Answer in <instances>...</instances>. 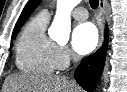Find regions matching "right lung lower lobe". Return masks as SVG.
Wrapping results in <instances>:
<instances>
[{
  "label": "right lung lower lobe",
  "instance_id": "obj_1",
  "mask_svg": "<svg viewBox=\"0 0 127 92\" xmlns=\"http://www.w3.org/2000/svg\"><path fill=\"white\" fill-rule=\"evenodd\" d=\"M107 50V30L104 44L94 55L85 58L75 71L77 82L88 92H93L104 68Z\"/></svg>",
  "mask_w": 127,
  "mask_h": 92
}]
</instances>
